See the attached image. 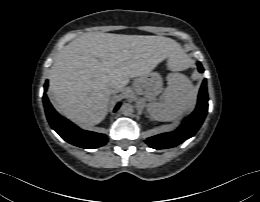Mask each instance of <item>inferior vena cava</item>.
I'll use <instances>...</instances> for the list:
<instances>
[{"mask_svg":"<svg viewBox=\"0 0 260 202\" xmlns=\"http://www.w3.org/2000/svg\"><path fill=\"white\" fill-rule=\"evenodd\" d=\"M121 90L120 86H113L111 89H110V92L111 93H117Z\"/></svg>","mask_w":260,"mask_h":202,"instance_id":"1","label":"inferior vena cava"}]
</instances>
